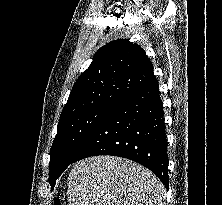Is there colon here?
<instances>
[{"label": "colon", "instance_id": "1", "mask_svg": "<svg viewBox=\"0 0 222 205\" xmlns=\"http://www.w3.org/2000/svg\"><path fill=\"white\" fill-rule=\"evenodd\" d=\"M53 205H61V200H60V198L56 197V198L53 200Z\"/></svg>", "mask_w": 222, "mask_h": 205}]
</instances>
